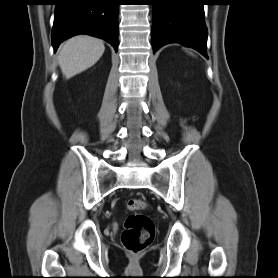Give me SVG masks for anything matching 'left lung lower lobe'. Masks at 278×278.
<instances>
[{
  "label": "left lung lower lobe",
  "instance_id": "obj_1",
  "mask_svg": "<svg viewBox=\"0 0 278 278\" xmlns=\"http://www.w3.org/2000/svg\"><path fill=\"white\" fill-rule=\"evenodd\" d=\"M204 0H152V46L156 52L169 43L199 51L207 59Z\"/></svg>",
  "mask_w": 278,
  "mask_h": 278
}]
</instances>
